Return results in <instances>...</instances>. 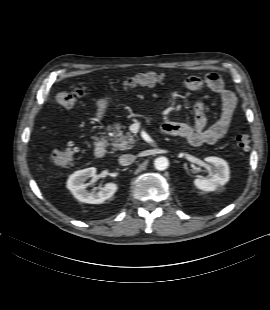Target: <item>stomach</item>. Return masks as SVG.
Returning <instances> with one entry per match:
<instances>
[{
	"label": "stomach",
	"instance_id": "1",
	"mask_svg": "<svg viewBox=\"0 0 270 310\" xmlns=\"http://www.w3.org/2000/svg\"><path fill=\"white\" fill-rule=\"evenodd\" d=\"M109 106V101L107 98H100L95 102L96 107V117L102 119Z\"/></svg>",
	"mask_w": 270,
	"mask_h": 310
}]
</instances>
